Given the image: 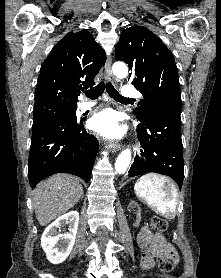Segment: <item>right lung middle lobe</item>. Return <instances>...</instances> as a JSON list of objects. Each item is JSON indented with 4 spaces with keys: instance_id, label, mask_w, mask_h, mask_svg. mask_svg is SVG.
<instances>
[{
    "instance_id": "right-lung-middle-lobe-1",
    "label": "right lung middle lobe",
    "mask_w": 221,
    "mask_h": 278,
    "mask_svg": "<svg viewBox=\"0 0 221 278\" xmlns=\"http://www.w3.org/2000/svg\"><path fill=\"white\" fill-rule=\"evenodd\" d=\"M76 103L66 101H48L34 105L33 128L55 119H76Z\"/></svg>"
}]
</instances>
